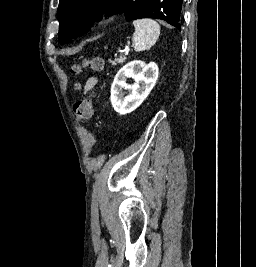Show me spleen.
<instances>
[{
  "instance_id": "spleen-1",
  "label": "spleen",
  "mask_w": 256,
  "mask_h": 267,
  "mask_svg": "<svg viewBox=\"0 0 256 267\" xmlns=\"http://www.w3.org/2000/svg\"><path fill=\"white\" fill-rule=\"evenodd\" d=\"M133 26L135 32L132 34V48L135 52L150 50L160 36L159 24L155 20L144 18V20H134Z\"/></svg>"
}]
</instances>
